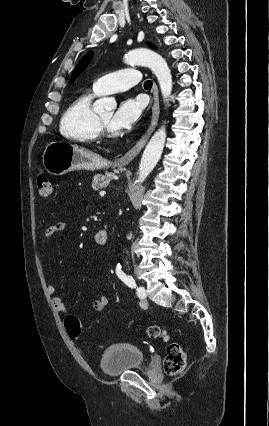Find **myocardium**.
I'll use <instances>...</instances> for the list:
<instances>
[{
    "label": "myocardium",
    "instance_id": "obj_1",
    "mask_svg": "<svg viewBox=\"0 0 269 426\" xmlns=\"http://www.w3.org/2000/svg\"><path fill=\"white\" fill-rule=\"evenodd\" d=\"M97 124L100 130V133L104 136H111L112 132L110 128L101 120L99 116H97Z\"/></svg>",
    "mask_w": 269,
    "mask_h": 426
}]
</instances>
